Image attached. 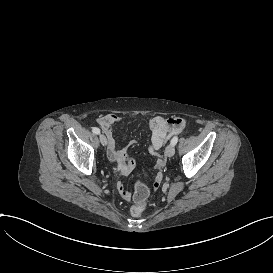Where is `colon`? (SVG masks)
<instances>
[{"label":"colon","instance_id":"obj_1","mask_svg":"<svg viewBox=\"0 0 273 273\" xmlns=\"http://www.w3.org/2000/svg\"><path fill=\"white\" fill-rule=\"evenodd\" d=\"M148 192L149 189H147L144 181L139 179L137 181L136 193L133 200L135 207H133L131 210L133 216L138 217L141 215V213H144L147 210L148 204L145 201L147 199Z\"/></svg>","mask_w":273,"mask_h":273}]
</instances>
